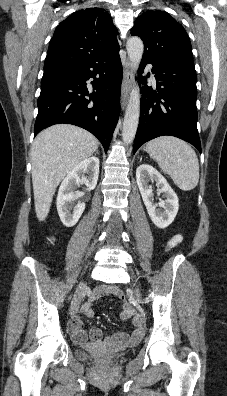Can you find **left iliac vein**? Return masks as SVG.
Listing matches in <instances>:
<instances>
[{"label": "left iliac vein", "instance_id": "1", "mask_svg": "<svg viewBox=\"0 0 227 396\" xmlns=\"http://www.w3.org/2000/svg\"><path fill=\"white\" fill-rule=\"evenodd\" d=\"M135 295H136V298L139 300V301H141V296H140V292H139V290H135Z\"/></svg>", "mask_w": 227, "mask_h": 396}]
</instances>
